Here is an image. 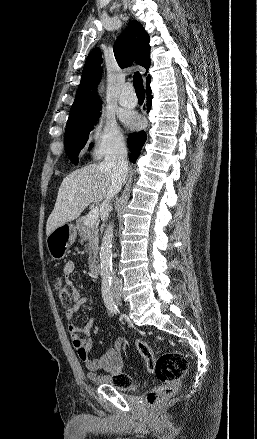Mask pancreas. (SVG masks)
<instances>
[{
	"label": "pancreas",
	"instance_id": "pancreas-1",
	"mask_svg": "<svg viewBox=\"0 0 257 439\" xmlns=\"http://www.w3.org/2000/svg\"><path fill=\"white\" fill-rule=\"evenodd\" d=\"M86 217L82 216L76 221V228L79 232L81 242L87 241V250L89 253V263L96 258L98 251V223L85 224Z\"/></svg>",
	"mask_w": 257,
	"mask_h": 439
}]
</instances>
